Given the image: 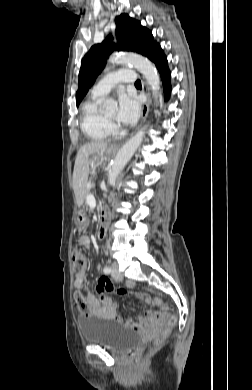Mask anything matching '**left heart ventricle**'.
<instances>
[{
  "instance_id": "left-heart-ventricle-1",
  "label": "left heart ventricle",
  "mask_w": 252,
  "mask_h": 390,
  "mask_svg": "<svg viewBox=\"0 0 252 390\" xmlns=\"http://www.w3.org/2000/svg\"><path fill=\"white\" fill-rule=\"evenodd\" d=\"M116 114H117L116 109H113L110 113L107 114V116H108L109 118H111V119H115Z\"/></svg>"
}]
</instances>
